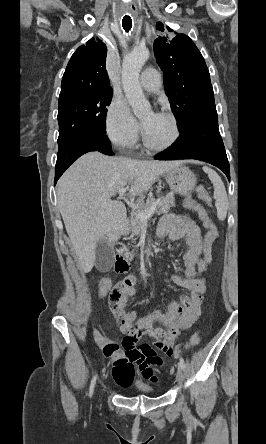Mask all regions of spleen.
<instances>
[{
    "label": "spleen",
    "mask_w": 266,
    "mask_h": 444,
    "mask_svg": "<svg viewBox=\"0 0 266 444\" xmlns=\"http://www.w3.org/2000/svg\"><path fill=\"white\" fill-rule=\"evenodd\" d=\"M205 173L208 174L214 187L215 206L217 208V216L220 220H224L227 215L228 197L225 186L220 176L211 168L203 167Z\"/></svg>",
    "instance_id": "3e777b00"
}]
</instances>
